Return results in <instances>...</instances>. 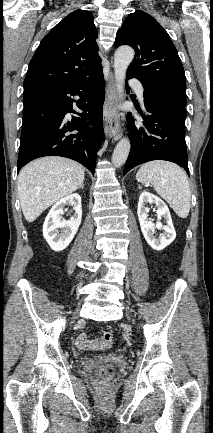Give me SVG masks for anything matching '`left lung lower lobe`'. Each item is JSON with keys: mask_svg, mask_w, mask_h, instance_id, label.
Segmentation results:
<instances>
[{"mask_svg": "<svg viewBox=\"0 0 213 433\" xmlns=\"http://www.w3.org/2000/svg\"><path fill=\"white\" fill-rule=\"evenodd\" d=\"M127 78L133 77L127 75ZM144 107V111L137 108L144 119L141 125L135 124L131 113L127 116L131 150L123 175L133 167L152 160L174 162L184 167L189 175L184 129L186 109L151 98L145 93Z\"/></svg>", "mask_w": 213, "mask_h": 433, "instance_id": "0a47b994", "label": "left lung lower lobe"}]
</instances>
